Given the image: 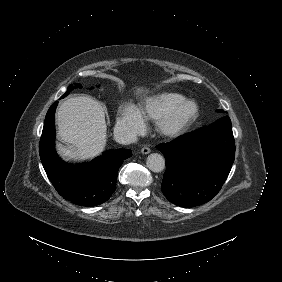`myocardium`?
I'll use <instances>...</instances> for the list:
<instances>
[{
  "label": "myocardium",
  "mask_w": 282,
  "mask_h": 282,
  "mask_svg": "<svg viewBox=\"0 0 282 282\" xmlns=\"http://www.w3.org/2000/svg\"><path fill=\"white\" fill-rule=\"evenodd\" d=\"M193 105L190 100H182L178 105L173 107L162 120L164 129L169 133L177 132L187 122L193 120L196 115L189 110V106Z\"/></svg>",
  "instance_id": "1"
}]
</instances>
